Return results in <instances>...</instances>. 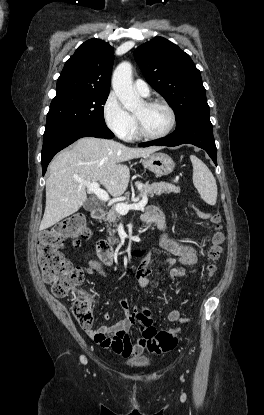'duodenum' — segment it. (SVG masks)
<instances>
[{
  "mask_svg": "<svg viewBox=\"0 0 264 415\" xmlns=\"http://www.w3.org/2000/svg\"><path fill=\"white\" fill-rule=\"evenodd\" d=\"M106 208L102 205H97L92 210V217L95 221L101 222L104 220L106 215ZM96 252L98 258L105 264H114L115 262V253L108 243V241L102 237L97 238L96 240Z\"/></svg>",
  "mask_w": 264,
  "mask_h": 415,
  "instance_id": "410a0bca",
  "label": "duodenum"
}]
</instances>
